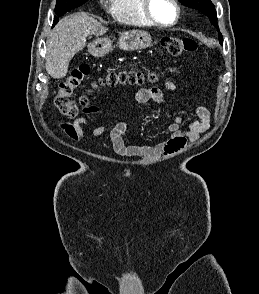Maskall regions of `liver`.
Masks as SVG:
<instances>
[{
	"label": "liver",
	"mask_w": 259,
	"mask_h": 294,
	"mask_svg": "<svg viewBox=\"0 0 259 294\" xmlns=\"http://www.w3.org/2000/svg\"><path fill=\"white\" fill-rule=\"evenodd\" d=\"M108 29L88 13H74L61 19L47 39L45 67L54 79L64 78L70 60L86 46L89 35H102Z\"/></svg>",
	"instance_id": "liver-1"
}]
</instances>
